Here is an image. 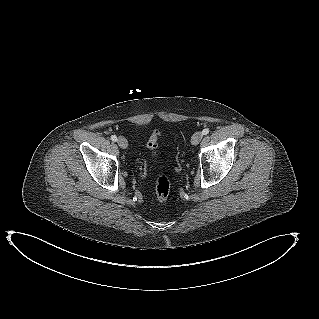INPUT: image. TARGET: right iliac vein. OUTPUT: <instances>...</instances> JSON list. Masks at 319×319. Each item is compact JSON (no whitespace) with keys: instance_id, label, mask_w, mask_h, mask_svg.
<instances>
[{"instance_id":"right-iliac-vein-1","label":"right iliac vein","mask_w":319,"mask_h":319,"mask_svg":"<svg viewBox=\"0 0 319 319\" xmlns=\"http://www.w3.org/2000/svg\"><path fill=\"white\" fill-rule=\"evenodd\" d=\"M118 145L123 148L126 149L128 147V141L126 138H124L123 136H120L117 140Z\"/></svg>"}]
</instances>
